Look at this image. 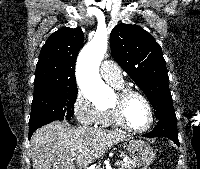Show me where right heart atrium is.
<instances>
[{
  "mask_svg": "<svg viewBox=\"0 0 200 169\" xmlns=\"http://www.w3.org/2000/svg\"><path fill=\"white\" fill-rule=\"evenodd\" d=\"M72 109L76 119L81 124L86 126L98 125L101 110L80 90L75 95Z\"/></svg>",
  "mask_w": 200,
  "mask_h": 169,
  "instance_id": "right-heart-atrium-1",
  "label": "right heart atrium"
}]
</instances>
